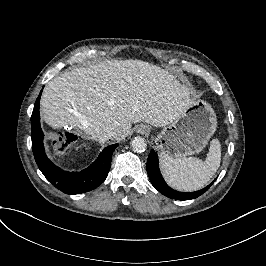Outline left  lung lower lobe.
<instances>
[{
  "instance_id": "obj_1",
  "label": "left lung lower lobe",
  "mask_w": 266,
  "mask_h": 266,
  "mask_svg": "<svg viewBox=\"0 0 266 266\" xmlns=\"http://www.w3.org/2000/svg\"><path fill=\"white\" fill-rule=\"evenodd\" d=\"M147 173L150 178L152 185L163 195L177 200H190L195 199L206 192L214 181L208 185L206 188H203L196 192L184 193L171 189L162 178V175L158 166V156L154 150H151L150 155L147 160Z\"/></svg>"
}]
</instances>
